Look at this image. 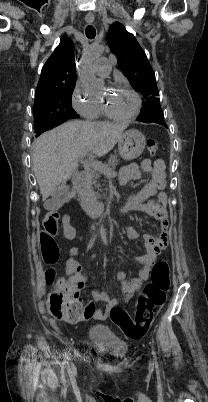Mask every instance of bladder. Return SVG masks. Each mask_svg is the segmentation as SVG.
<instances>
[{"label": "bladder", "instance_id": "1", "mask_svg": "<svg viewBox=\"0 0 208 402\" xmlns=\"http://www.w3.org/2000/svg\"><path fill=\"white\" fill-rule=\"evenodd\" d=\"M88 343L98 350H106L112 359L124 358L127 351L126 343L118 339L106 325L89 327Z\"/></svg>", "mask_w": 208, "mask_h": 402}]
</instances>
